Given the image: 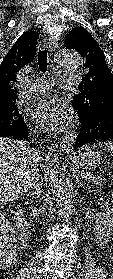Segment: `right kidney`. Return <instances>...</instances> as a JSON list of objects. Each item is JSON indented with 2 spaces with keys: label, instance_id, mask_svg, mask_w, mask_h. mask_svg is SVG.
<instances>
[{
  "label": "right kidney",
  "instance_id": "1",
  "mask_svg": "<svg viewBox=\"0 0 113 279\" xmlns=\"http://www.w3.org/2000/svg\"><path fill=\"white\" fill-rule=\"evenodd\" d=\"M13 220L15 229L18 233V239L23 245H25L30 237L31 227L30 224L23 218L21 209L15 212Z\"/></svg>",
  "mask_w": 113,
  "mask_h": 279
}]
</instances>
